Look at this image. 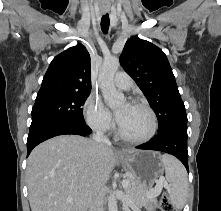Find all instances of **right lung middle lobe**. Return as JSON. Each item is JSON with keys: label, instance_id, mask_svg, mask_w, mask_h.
<instances>
[{"label": "right lung middle lobe", "instance_id": "obj_1", "mask_svg": "<svg viewBox=\"0 0 221 211\" xmlns=\"http://www.w3.org/2000/svg\"><path fill=\"white\" fill-rule=\"evenodd\" d=\"M89 95L90 91L38 92L32 108V123L30 128L53 121L85 124L82 106Z\"/></svg>", "mask_w": 221, "mask_h": 211}]
</instances>
